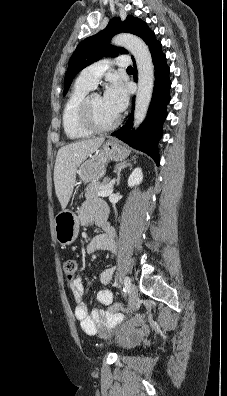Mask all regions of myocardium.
Listing matches in <instances>:
<instances>
[{"label": "myocardium", "instance_id": "f54148a6", "mask_svg": "<svg viewBox=\"0 0 227 396\" xmlns=\"http://www.w3.org/2000/svg\"><path fill=\"white\" fill-rule=\"evenodd\" d=\"M95 94H97V93H95V92L88 93L83 98L81 105H80L81 121L84 124V126L86 128H88L89 130H91L92 132L101 133V132L110 131L118 126V124L120 123V117L117 116L112 122H110L108 124H100L96 120L93 110H92L91 101H92V97Z\"/></svg>", "mask_w": 227, "mask_h": 396}]
</instances>
